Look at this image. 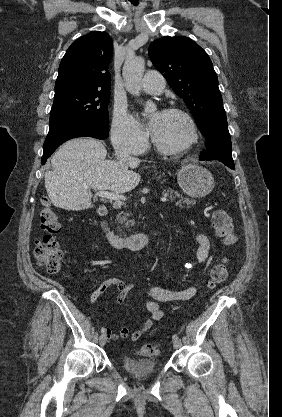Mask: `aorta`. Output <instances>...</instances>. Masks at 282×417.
<instances>
[{"mask_svg": "<svg viewBox=\"0 0 282 417\" xmlns=\"http://www.w3.org/2000/svg\"><path fill=\"white\" fill-rule=\"evenodd\" d=\"M145 68V60L142 56H134V58H126L123 64V78L126 82V90L139 96L140 80L143 76ZM146 110H156L154 102H146Z\"/></svg>", "mask_w": 282, "mask_h": 417, "instance_id": "762f6f07", "label": "aorta"}]
</instances>
